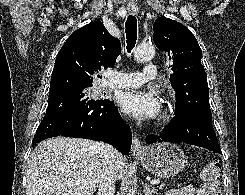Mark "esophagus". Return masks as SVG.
I'll return each instance as SVG.
<instances>
[{"label":"esophagus","mask_w":245,"mask_h":195,"mask_svg":"<svg viewBox=\"0 0 245 195\" xmlns=\"http://www.w3.org/2000/svg\"><path fill=\"white\" fill-rule=\"evenodd\" d=\"M127 11L131 15H136L139 12L138 7L136 5L128 6ZM142 150H143V148H142V145L140 143L139 138L137 137V135H134L133 141H132V146H131V152L133 154H140L142 152Z\"/></svg>","instance_id":"34e87169"}]
</instances>
